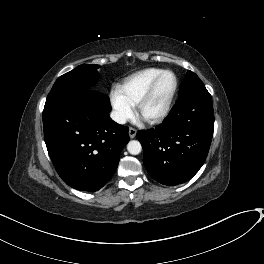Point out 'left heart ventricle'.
<instances>
[{
	"label": "left heart ventricle",
	"mask_w": 264,
	"mask_h": 264,
	"mask_svg": "<svg viewBox=\"0 0 264 264\" xmlns=\"http://www.w3.org/2000/svg\"><path fill=\"white\" fill-rule=\"evenodd\" d=\"M174 80L169 74L164 75L157 84L153 95L140 110L141 117H151L164 107L167 98L173 88Z\"/></svg>",
	"instance_id": "obj_1"
}]
</instances>
